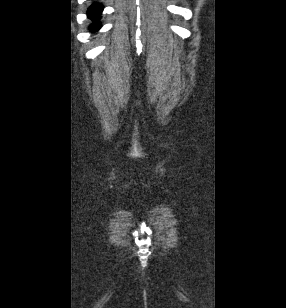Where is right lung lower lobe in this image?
Returning a JSON list of instances; mask_svg holds the SVG:
<instances>
[{"label":"right lung lower lobe","instance_id":"right-lung-lower-lobe-1","mask_svg":"<svg viewBox=\"0 0 286 308\" xmlns=\"http://www.w3.org/2000/svg\"><path fill=\"white\" fill-rule=\"evenodd\" d=\"M103 11V6L97 3H94L88 9L87 15L93 21V24L90 26V31L94 32L100 29L101 25L98 21L101 13Z\"/></svg>","mask_w":286,"mask_h":308}]
</instances>
